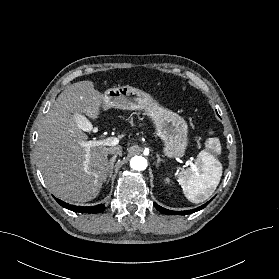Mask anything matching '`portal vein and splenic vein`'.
<instances>
[{
	"mask_svg": "<svg viewBox=\"0 0 279 279\" xmlns=\"http://www.w3.org/2000/svg\"><path fill=\"white\" fill-rule=\"evenodd\" d=\"M87 123L83 124L80 126L82 130L88 131L91 130L92 128L90 127L89 129L87 128ZM119 143V139L116 137H108L103 140H92V141H87V142H82L81 146L85 147L86 152H87V161L89 160V152L90 148L96 147V146H116ZM191 164L190 162H187V165Z\"/></svg>",
	"mask_w": 279,
	"mask_h": 279,
	"instance_id": "portal-vein-and-splenic-vein-1",
	"label": "portal vein and splenic vein"
}]
</instances>
